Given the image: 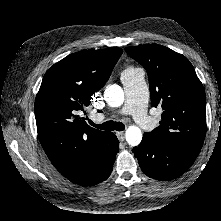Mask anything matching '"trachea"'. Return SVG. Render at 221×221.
<instances>
[{"label": "trachea", "instance_id": "3493384b", "mask_svg": "<svg viewBox=\"0 0 221 221\" xmlns=\"http://www.w3.org/2000/svg\"><path fill=\"white\" fill-rule=\"evenodd\" d=\"M89 124L101 129V130H106V131H123L125 129V125L121 122H114L112 120L110 121H106L102 124H95L94 122H92L91 120H88Z\"/></svg>", "mask_w": 221, "mask_h": 221}]
</instances>
